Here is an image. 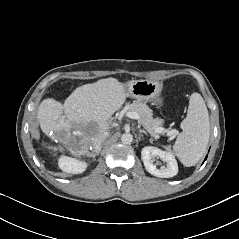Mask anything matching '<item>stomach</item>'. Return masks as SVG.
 <instances>
[{"label": "stomach", "mask_w": 239, "mask_h": 239, "mask_svg": "<svg viewBox=\"0 0 239 239\" xmlns=\"http://www.w3.org/2000/svg\"><path fill=\"white\" fill-rule=\"evenodd\" d=\"M128 97L138 101L152 102V104L161 107L163 99L160 97L162 84L151 80L130 81L125 85Z\"/></svg>", "instance_id": "obj_1"}]
</instances>
